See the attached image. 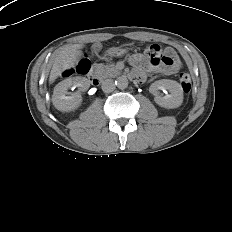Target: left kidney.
I'll use <instances>...</instances> for the list:
<instances>
[{
	"instance_id": "left-kidney-1",
	"label": "left kidney",
	"mask_w": 232,
	"mask_h": 232,
	"mask_svg": "<svg viewBox=\"0 0 232 232\" xmlns=\"http://www.w3.org/2000/svg\"><path fill=\"white\" fill-rule=\"evenodd\" d=\"M160 90H168L170 94L161 96ZM149 92L154 95V100L159 106L167 109L178 108L183 102V89L174 80L162 79L155 81L149 87Z\"/></svg>"
}]
</instances>
